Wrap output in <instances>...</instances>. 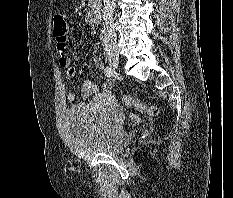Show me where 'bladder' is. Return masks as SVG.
I'll return each instance as SVG.
<instances>
[{
  "label": "bladder",
  "instance_id": "obj_1",
  "mask_svg": "<svg viewBox=\"0 0 233 198\" xmlns=\"http://www.w3.org/2000/svg\"><path fill=\"white\" fill-rule=\"evenodd\" d=\"M124 119V110L117 104L91 114L69 110L64 117L68 144L80 153L115 155L130 140L123 128Z\"/></svg>",
  "mask_w": 233,
  "mask_h": 198
}]
</instances>
